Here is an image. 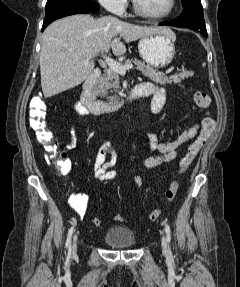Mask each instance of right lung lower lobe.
I'll list each match as a JSON object with an SVG mask.
<instances>
[{"label": "right lung lower lobe", "mask_w": 240, "mask_h": 287, "mask_svg": "<svg viewBox=\"0 0 240 287\" xmlns=\"http://www.w3.org/2000/svg\"><path fill=\"white\" fill-rule=\"evenodd\" d=\"M99 6L92 0H60L46 4L42 31L54 20L78 13L98 12Z\"/></svg>", "instance_id": "1"}]
</instances>
